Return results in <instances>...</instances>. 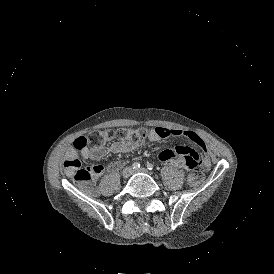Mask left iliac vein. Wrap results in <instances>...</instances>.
<instances>
[{"label": "left iliac vein", "mask_w": 274, "mask_h": 274, "mask_svg": "<svg viewBox=\"0 0 274 274\" xmlns=\"http://www.w3.org/2000/svg\"><path fill=\"white\" fill-rule=\"evenodd\" d=\"M132 173H145V174H150V172H149L147 169H145V168H140V169H138V170L133 171Z\"/></svg>", "instance_id": "4c4485c4"}]
</instances>
